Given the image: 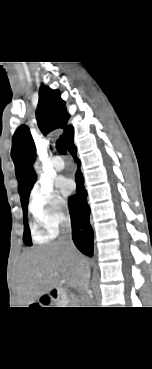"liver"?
<instances>
[{
  "label": "liver",
  "instance_id": "obj_1",
  "mask_svg": "<svg viewBox=\"0 0 152 369\" xmlns=\"http://www.w3.org/2000/svg\"><path fill=\"white\" fill-rule=\"evenodd\" d=\"M88 260L77 250L69 252L61 242L26 251L20 261L17 290L21 303L30 304L66 281L81 286V270Z\"/></svg>",
  "mask_w": 152,
  "mask_h": 369
}]
</instances>
